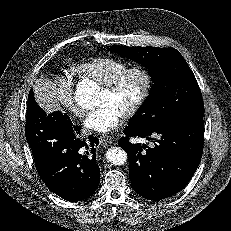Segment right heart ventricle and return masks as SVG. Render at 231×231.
I'll list each match as a JSON object with an SVG mask.
<instances>
[{
    "mask_svg": "<svg viewBox=\"0 0 231 231\" xmlns=\"http://www.w3.org/2000/svg\"><path fill=\"white\" fill-rule=\"evenodd\" d=\"M126 67H128V64L122 60L98 57L76 64L72 70L81 78H90L104 84Z\"/></svg>",
    "mask_w": 231,
    "mask_h": 231,
    "instance_id": "e07e8e85",
    "label": "right heart ventricle"
}]
</instances>
